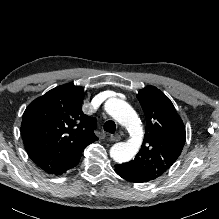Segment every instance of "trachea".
<instances>
[{"instance_id":"1","label":"trachea","mask_w":219,"mask_h":219,"mask_svg":"<svg viewBox=\"0 0 219 219\" xmlns=\"http://www.w3.org/2000/svg\"><path fill=\"white\" fill-rule=\"evenodd\" d=\"M116 130V124L114 121L109 120L105 122L104 124V131L109 132V133H114Z\"/></svg>"}]
</instances>
